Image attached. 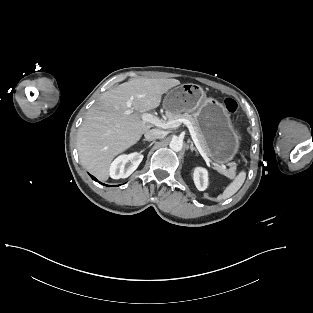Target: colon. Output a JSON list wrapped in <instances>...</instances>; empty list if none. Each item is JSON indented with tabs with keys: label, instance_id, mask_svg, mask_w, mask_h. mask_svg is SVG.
<instances>
[{
	"label": "colon",
	"instance_id": "1",
	"mask_svg": "<svg viewBox=\"0 0 313 313\" xmlns=\"http://www.w3.org/2000/svg\"><path fill=\"white\" fill-rule=\"evenodd\" d=\"M223 105L229 113H234L237 110V102L232 98L224 99Z\"/></svg>",
	"mask_w": 313,
	"mask_h": 313
}]
</instances>
